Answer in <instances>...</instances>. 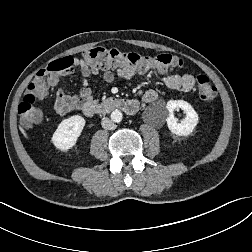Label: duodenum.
<instances>
[{
    "instance_id": "1",
    "label": "duodenum",
    "mask_w": 252,
    "mask_h": 252,
    "mask_svg": "<svg viewBox=\"0 0 252 252\" xmlns=\"http://www.w3.org/2000/svg\"><path fill=\"white\" fill-rule=\"evenodd\" d=\"M115 109H120L129 115H133L139 109V102L135 99L111 98L99 103L91 102L83 107V111L90 116L105 114Z\"/></svg>"
}]
</instances>
